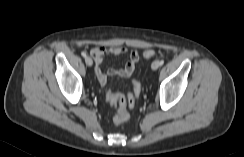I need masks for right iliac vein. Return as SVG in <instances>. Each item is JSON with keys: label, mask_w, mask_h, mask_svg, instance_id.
<instances>
[{"label": "right iliac vein", "mask_w": 244, "mask_h": 157, "mask_svg": "<svg viewBox=\"0 0 244 157\" xmlns=\"http://www.w3.org/2000/svg\"><path fill=\"white\" fill-rule=\"evenodd\" d=\"M85 62L87 66H92L93 65V61L90 57H86L85 58Z\"/></svg>", "instance_id": "1"}]
</instances>
